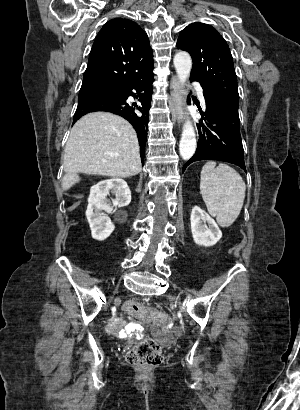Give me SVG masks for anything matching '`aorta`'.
I'll return each instance as SVG.
<instances>
[{"label":"aorta","mask_w":300,"mask_h":410,"mask_svg":"<svg viewBox=\"0 0 300 410\" xmlns=\"http://www.w3.org/2000/svg\"><path fill=\"white\" fill-rule=\"evenodd\" d=\"M175 70L180 84L183 86L190 76L192 68V60L190 55L185 51H180L175 54L174 59ZM196 136L194 128L190 121H186L183 127L179 152L184 160L190 159L196 151Z\"/></svg>","instance_id":"762f6f07"}]
</instances>
